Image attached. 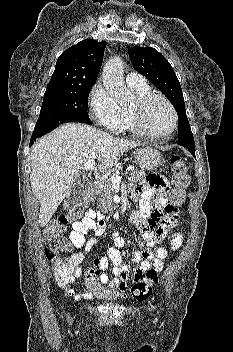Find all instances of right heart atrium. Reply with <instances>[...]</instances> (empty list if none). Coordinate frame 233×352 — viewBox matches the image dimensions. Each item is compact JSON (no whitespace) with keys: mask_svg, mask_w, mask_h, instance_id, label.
I'll use <instances>...</instances> for the list:
<instances>
[{"mask_svg":"<svg viewBox=\"0 0 233 352\" xmlns=\"http://www.w3.org/2000/svg\"><path fill=\"white\" fill-rule=\"evenodd\" d=\"M90 107L94 119L100 126L113 133L121 131L123 109L102 85L93 88Z\"/></svg>","mask_w":233,"mask_h":352,"instance_id":"d8ad5b80","label":"right heart atrium"}]
</instances>
